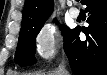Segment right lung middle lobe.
Segmentation results:
<instances>
[{"mask_svg":"<svg viewBox=\"0 0 107 75\" xmlns=\"http://www.w3.org/2000/svg\"><path fill=\"white\" fill-rule=\"evenodd\" d=\"M44 23L33 24L23 23L19 35L17 50L15 53V62L20 66H30L36 62L34 57L36 49V35L41 30ZM73 29L69 30L67 27H62V34L64 35V44L72 34Z\"/></svg>","mask_w":107,"mask_h":75,"instance_id":"right-lung-middle-lobe-1","label":"right lung middle lobe"}]
</instances>
